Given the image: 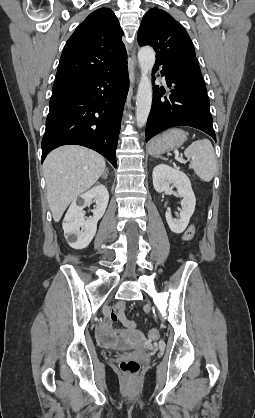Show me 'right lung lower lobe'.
Masks as SVG:
<instances>
[{"label":"right lung lower lobe","instance_id":"obj_1","mask_svg":"<svg viewBox=\"0 0 255 418\" xmlns=\"http://www.w3.org/2000/svg\"><path fill=\"white\" fill-rule=\"evenodd\" d=\"M128 88L127 63L55 79L42 139V162L53 149L75 144L99 152L116 167L115 151Z\"/></svg>","mask_w":255,"mask_h":418}]
</instances>
